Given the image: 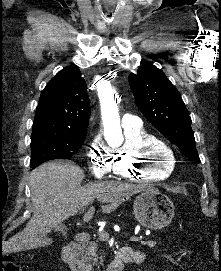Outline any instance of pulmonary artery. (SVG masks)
Listing matches in <instances>:
<instances>
[{"instance_id":"pulmonary-artery-1","label":"pulmonary artery","mask_w":221,"mask_h":271,"mask_svg":"<svg viewBox=\"0 0 221 271\" xmlns=\"http://www.w3.org/2000/svg\"><path fill=\"white\" fill-rule=\"evenodd\" d=\"M121 127H142L143 123L138 122V117H123ZM140 128H127V133H122V138H137V133H140Z\"/></svg>"}]
</instances>
